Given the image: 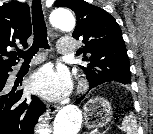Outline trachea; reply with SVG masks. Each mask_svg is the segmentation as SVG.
<instances>
[{
  "instance_id": "1",
  "label": "trachea",
  "mask_w": 153,
  "mask_h": 134,
  "mask_svg": "<svg viewBox=\"0 0 153 134\" xmlns=\"http://www.w3.org/2000/svg\"><path fill=\"white\" fill-rule=\"evenodd\" d=\"M32 21L34 30L32 46L27 51L19 50L16 52V55L23 58L24 61H30L39 48H50L47 41V27L44 20L41 0H33L32 2Z\"/></svg>"
}]
</instances>
